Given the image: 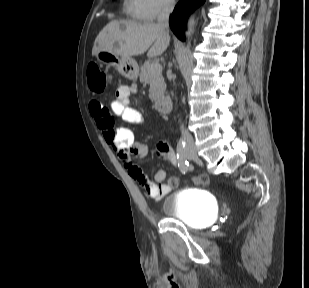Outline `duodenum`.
Segmentation results:
<instances>
[{
	"label": "duodenum",
	"instance_id": "obj_1",
	"mask_svg": "<svg viewBox=\"0 0 309 288\" xmlns=\"http://www.w3.org/2000/svg\"><path fill=\"white\" fill-rule=\"evenodd\" d=\"M157 108L162 113H168L171 110V102L167 97L159 98L156 102Z\"/></svg>",
	"mask_w": 309,
	"mask_h": 288
}]
</instances>
